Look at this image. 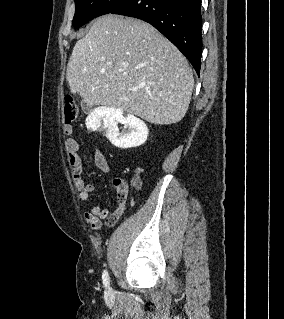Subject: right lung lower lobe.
Masks as SVG:
<instances>
[{"instance_id": "right-lung-lower-lobe-1", "label": "right lung lower lobe", "mask_w": 284, "mask_h": 319, "mask_svg": "<svg viewBox=\"0 0 284 319\" xmlns=\"http://www.w3.org/2000/svg\"><path fill=\"white\" fill-rule=\"evenodd\" d=\"M111 13L150 23L188 58L199 75L201 0H130Z\"/></svg>"}]
</instances>
